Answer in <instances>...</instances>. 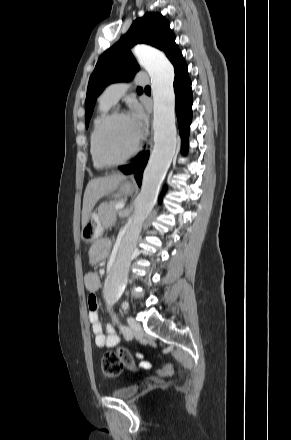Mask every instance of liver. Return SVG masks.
<instances>
[{"label":"liver","mask_w":291,"mask_h":440,"mask_svg":"<svg viewBox=\"0 0 291 440\" xmlns=\"http://www.w3.org/2000/svg\"><path fill=\"white\" fill-rule=\"evenodd\" d=\"M124 179L125 176L118 173L89 181L83 198L82 227L87 223L91 211L97 201L116 190L120 182Z\"/></svg>","instance_id":"6515ba94"}]
</instances>
